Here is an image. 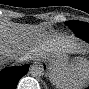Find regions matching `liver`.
<instances>
[{"mask_svg":"<svg viewBox=\"0 0 89 89\" xmlns=\"http://www.w3.org/2000/svg\"><path fill=\"white\" fill-rule=\"evenodd\" d=\"M82 51L83 49L74 43L49 37L36 25L1 24L0 26L1 62L8 53H12L11 58L20 62L27 58V54L47 60L49 56L62 58L67 54Z\"/></svg>","mask_w":89,"mask_h":89,"instance_id":"1","label":"liver"}]
</instances>
